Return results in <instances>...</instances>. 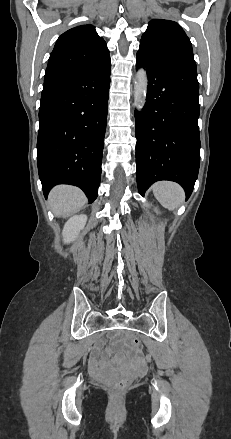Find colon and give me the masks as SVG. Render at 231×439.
Listing matches in <instances>:
<instances>
[{
  "mask_svg": "<svg viewBox=\"0 0 231 439\" xmlns=\"http://www.w3.org/2000/svg\"><path fill=\"white\" fill-rule=\"evenodd\" d=\"M131 346L135 349L142 347L141 340L138 336H133L130 340ZM129 379L126 377L114 378L111 382V388L116 393H121L127 386Z\"/></svg>",
  "mask_w": 231,
  "mask_h": 439,
  "instance_id": "obj_1",
  "label": "colon"
}]
</instances>
